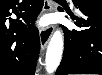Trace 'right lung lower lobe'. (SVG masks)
<instances>
[{"label":"right lung lower lobe","instance_id":"98d812e1","mask_svg":"<svg viewBox=\"0 0 102 75\" xmlns=\"http://www.w3.org/2000/svg\"><path fill=\"white\" fill-rule=\"evenodd\" d=\"M44 0H0V75H34L40 49L34 22ZM18 5V10L15 6ZM12 9L17 19L6 22ZM29 25V28L25 26Z\"/></svg>","mask_w":102,"mask_h":75}]
</instances>
